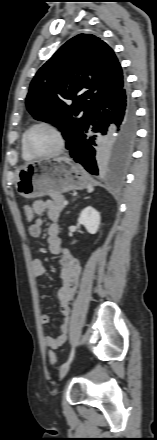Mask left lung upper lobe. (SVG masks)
<instances>
[{
    "label": "left lung upper lobe",
    "instance_id": "left-lung-upper-lobe-1",
    "mask_svg": "<svg viewBox=\"0 0 157 440\" xmlns=\"http://www.w3.org/2000/svg\"><path fill=\"white\" fill-rule=\"evenodd\" d=\"M123 87L113 50L92 34H79L38 70L26 106L35 119L57 124L68 149L95 107Z\"/></svg>",
    "mask_w": 157,
    "mask_h": 440
}]
</instances>
